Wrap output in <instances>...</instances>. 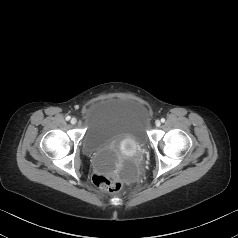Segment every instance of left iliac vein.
<instances>
[{
	"mask_svg": "<svg viewBox=\"0 0 238 238\" xmlns=\"http://www.w3.org/2000/svg\"><path fill=\"white\" fill-rule=\"evenodd\" d=\"M155 125H156L157 127H159V126L161 125V122H160L159 120H157V121L155 122Z\"/></svg>",
	"mask_w": 238,
	"mask_h": 238,
	"instance_id": "obj_1",
	"label": "left iliac vein"
}]
</instances>
